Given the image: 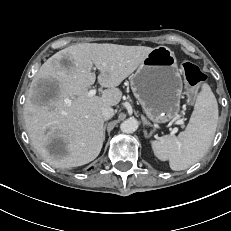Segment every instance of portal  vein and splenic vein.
I'll list each match as a JSON object with an SVG mask.
<instances>
[{"instance_id": "18ae733b", "label": "portal vein and splenic vein", "mask_w": 231, "mask_h": 231, "mask_svg": "<svg viewBox=\"0 0 231 231\" xmlns=\"http://www.w3.org/2000/svg\"><path fill=\"white\" fill-rule=\"evenodd\" d=\"M96 92H97L96 89H91V90L88 92V96H89V97H93V96H95ZM177 123H178V124H183L184 121L181 119V120H179Z\"/></svg>"}]
</instances>
